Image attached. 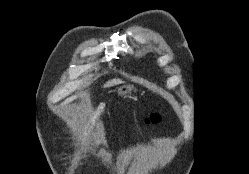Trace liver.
<instances>
[{
    "instance_id": "1",
    "label": "liver",
    "mask_w": 249,
    "mask_h": 174,
    "mask_svg": "<svg viewBox=\"0 0 249 174\" xmlns=\"http://www.w3.org/2000/svg\"><path fill=\"white\" fill-rule=\"evenodd\" d=\"M123 81L120 80V79H113V80H110L108 82H106L104 84V87H111V86H114V85H118V84H121Z\"/></svg>"
}]
</instances>
